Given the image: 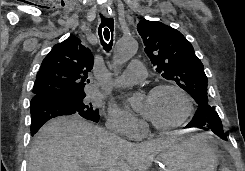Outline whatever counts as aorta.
<instances>
[{
    "instance_id": "762f6f07",
    "label": "aorta",
    "mask_w": 245,
    "mask_h": 171,
    "mask_svg": "<svg viewBox=\"0 0 245 171\" xmlns=\"http://www.w3.org/2000/svg\"><path fill=\"white\" fill-rule=\"evenodd\" d=\"M138 49V43L137 41L132 37H122L120 38L114 48L113 51V63L116 66H122L127 61H129L137 52ZM129 100L132 105H135L139 97L137 95H132L129 97Z\"/></svg>"
}]
</instances>
